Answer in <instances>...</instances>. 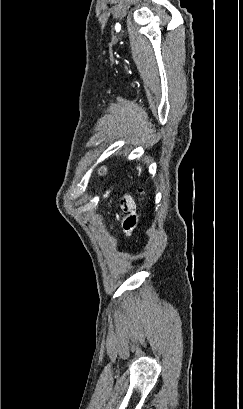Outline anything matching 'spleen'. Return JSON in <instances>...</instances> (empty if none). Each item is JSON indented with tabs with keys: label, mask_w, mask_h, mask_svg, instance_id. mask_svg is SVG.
I'll list each match as a JSON object with an SVG mask.
<instances>
[{
	"label": "spleen",
	"mask_w": 243,
	"mask_h": 409,
	"mask_svg": "<svg viewBox=\"0 0 243 409\" xmlns=\"http://www.w3.org/2000/svg\"><path fill=\"white\" fill-rule=\"evenodd\" d=\"M138 170H139V172H141V168H140V167H138Z\"/></svg>",
	"instance_id": "1"
}]
</instances>
